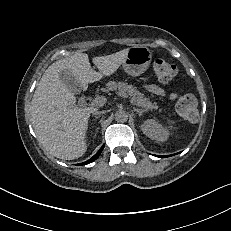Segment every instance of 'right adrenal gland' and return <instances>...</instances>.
Returning a JSON list of instances; mask_svg holds the SVG:
<instances>
[{"mask_svg":"<svg viewBox=\"0 0 231 231\" xmlns=\"http://www.w3.org/2000/svg\"><path fill=\"white\" fill-rule=\"evenodd\" d=\"M94 117H95V118H99L100 116H96V115H94Z\"/></svg>","mask_w":231,"mask_h":231,"instance_id":"2a0ac1e0","label":"right adrenal gland"}]
</instances>
